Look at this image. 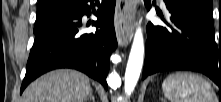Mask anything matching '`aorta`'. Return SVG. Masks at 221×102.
Instances as JSON below:
<instances>
[{
	"mask_svg": "<svg viewBox=\"0 0 221 102\" xmlns=\"http://www.w3.org/2000/svg\"><path fill=\"white\" fill-rule=\"evenodd\" d=\"M143 59L144 40L142 29L139 27L134 35V40L125 71L124 89L127 95H131L138 82L142 70Z\"/></svg>",
	"mask_w": 221,
	"mask_h": 102,
	"instance_id": "obj_1",
	"label": "aorta"
}]
</instances>
